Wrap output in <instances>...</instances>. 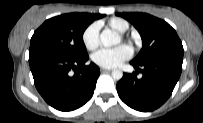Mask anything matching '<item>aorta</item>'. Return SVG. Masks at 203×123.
I'll list each match as a JSON object with an SVG mask.
<instances>
[{"mask_svg":"<svg viewBox=\"0 0 203 123\" xmlns=\"http://www.w3.org/2000/svg\"><path fill=\"white\" fill-rule=\"evenodd\" d=\"M100 41L105 47H110L117 45L120 42V36L115 31L110 29H104L100 34ZM123 76V72L121 70H113L112 78L114 80H120Z\"/></svg>","mask_w":203,"mask_h":123,"instance_id":"1","label":"aorta"}]
</instances>
